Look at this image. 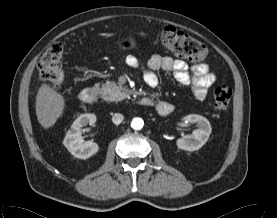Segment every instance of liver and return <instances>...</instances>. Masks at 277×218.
<instances>
[{"label": "liver", "mask_w": 277, "mask_h": 218, "mask_svg": "<svg viewBox=\"0 0 277 218\" xmlns=\"http://www.w3.org/2000/svg\"><path fill=\"white\" fill-rule=\"evenodd\" d=\"M64 107V97L43 83L36 96V115L41 126L45 129L52 127L63 114Z\"/></svg>", "instance_id": "obj_1"}]
</instances>
